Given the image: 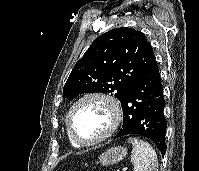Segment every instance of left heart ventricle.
Listing matches in <instances>:
<instances>
[{
  "instance_id": "1",
  "label": "left heart ventricle",
  "mask_w": 199,
  "mask_h": 171,
  "mask_svg": "<svg viewBox=\"0 0 199 171\" xmlns=\"http://www.w3.org/2000/svg\"><path fill=\"white\" fill-rule=\"evenodd\" d=\"M111 121L108 107L98 100L83 102L75 109L71 118L76 136L84 141L103 135L110 127Z\"/></svg>"
}]
</instances>
